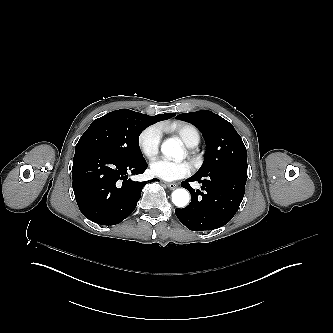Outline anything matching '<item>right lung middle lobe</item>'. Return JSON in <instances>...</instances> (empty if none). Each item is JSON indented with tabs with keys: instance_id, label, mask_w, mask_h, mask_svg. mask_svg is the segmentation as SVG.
Segmentation results:
<instances>
[{
	"instance_id": "obj_1",
	"label": "right lung middle lobe",
	"mask_w": 333,
	"mask_h": 333,
	"mask_svg": "<svg viewBox=\"0 0 333 333\" xmlns=\"http://www.w3.org/2000/svg\"><path fill=\"white\" fill-rule=\"evenodd\" d=\"M147 115L128 109L110 112L92 122L76 147L93 146L128 162L144 160L138 145L141 132L151 125Z\"/></svg>"
}]
</instances>
